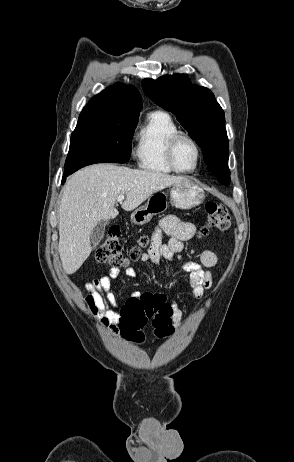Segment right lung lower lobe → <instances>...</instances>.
<instances>
[{
    "instance_id": "right-lung-lower-lobe-1",
    "label": "right lung lower lobe",
    "mask_w": 294,
    "mask_h": 462,
    "mask_svg": "<svg viewBox=\"0 0 294 462\" xmlns=\"http://www.w3.org/2000/svg\"><path fill=\"white\" fill-rule=\"evenodd\" d=\"M70 174H72V173H69V174H64V176H63V178H62V183H64V182H65V180H66V177H67V176H69Z\"/></svg>"
}]
</instances>
